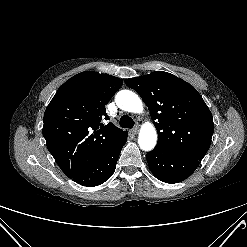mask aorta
Returning <instances> with one entry per match:
<instances>
[{
  "label": "aorta",
  "mask_w": 247,
  "mask_h": 247,
  "mask_svg": "<svg viewBox=\"0 0 247 247\" xmlns=\"http://www.w3.org/2000/svg\"><path fill=\"white\" fill-rule=\"evenodd\" d=\"M117 106L127 112L140 113L143 111V103L139 96L130 90H121L115 98ZM157 143V132L153 124H144L138 137L139 147L144 151L152 150Z\"/></svg>",
  "instance_id": "1"
}]
</instances>
